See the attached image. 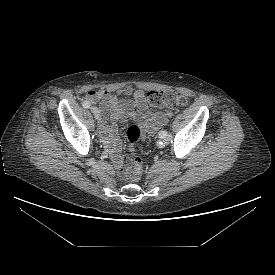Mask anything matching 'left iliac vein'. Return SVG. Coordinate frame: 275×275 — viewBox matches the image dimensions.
<instances>
[{
    "label": "left iliac vein",
    "instance_id": "obj_1",
    "mask_svg": "<svg viewBox=\"0 0 275 275\" xmlns=\"http://www.w3.org/2000/svg\"><path fill=\"white\" fill-rule=\"evenodd\" d=\"M162 139V142L164 144H169L170 140H171V136L169 134L165 135Z\"/></svg>",
    "mask_w": 275,
    "mask_h": 275
}]
</instances>
